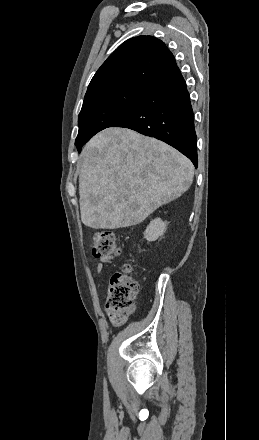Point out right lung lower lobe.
Wrapping results in <instances>:
<instances>
[{
    "instance_id": "1",
    "label": "right lung lower lobe",
    "mask_w": 259,
    "mask_h": 440,
    "mask_svg": "<svg viewBox=\"0 0 259 440\" xmlns=\"http://www.w3.org/2000/svg\"><path fill=\"white\" fill-rule=\"evenodd\" d=\"M109 127H124L173 146L198 166L194 115L177 66L147 90L139 102Z\"/></svg>"
}]
</instances>
